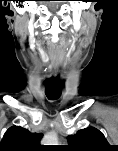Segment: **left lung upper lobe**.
Instances as JSON below:
<instances>
[{
  "mask_svg": "<svg viewBox=\"0 0 118 151\" xmlns=\"http://www.w3.org/2000/svg\"><path fill=\"white\" fill-rule=\"evenodd\" d=\"M69 150L72 151H102L110 145L104 135L93 127L79 130L75 135L67 137Z\"/></svg>",
  "mask_w": 118,
  "mask_h": 151,
  "instance_id": "1",
  "label": "left lung upper lobe"
}]
</instances>
